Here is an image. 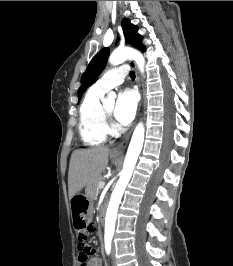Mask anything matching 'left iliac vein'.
<instances>
[{
    "mask_svg": "<svg viewBox=\"0 0 233 266\" xmlns=\"http://www.w3.org/2000/svg\"><path fill=\"white\" fill-rule=\"evenodd\" d=\"M114 246L112 247V253L114 254ZM113 266H117V264H116V261L114 260V262H113Z\"/></svg>",
    "mask_w": 233,
    "mask_h": 266,
    "instance_id": "4c4485c4",
    "label": "left iliac vein"
}]
</instances>
